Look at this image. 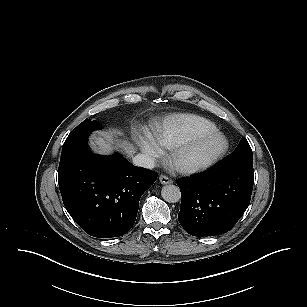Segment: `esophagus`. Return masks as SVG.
<instances>
[{
    "label": "esophagus",
    "instance_id": "esophagus-1",
    "mask_svg": "<svg viewBox=\"0 0 307 307\" xmlns=\"http://www.w3.org/2000/svg\"><path fill=\"white\" fill-rule=\"evenodd\" d=\"M159 181L161 184H171L173 183L172 179H170L169 177L165 176V175H160L159 176Z\"/></svg>",
    "mask_w": 307,
    "mask_h": 307
}]
</instances>
